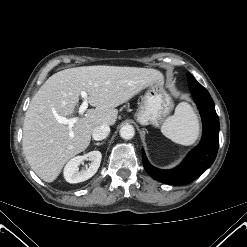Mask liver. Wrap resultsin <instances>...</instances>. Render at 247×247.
Returning a JSON list of instances; mask_svg holds the SVG:
<instances>
[{"mask_svg":"<svg viewBox=\"0 0 247 247\" xmlns=\"http://www.w3.org/2000/svg\"><path fill=\"white\" fill-rule=\"evenodd\" d=\"M161 77L155 69L104 65L53 74L32 98L24 119L23 151L32 170L43 181L53 182L65 163L88 147L96 126L114 125L116 107ZM81 91L88 94V103L95 108L78 117L69 129L56 116H71Z\"/></svg>","mask_w":247,"mask_h":247,"instance_id":"1","label":"liver"}]
</instances>
